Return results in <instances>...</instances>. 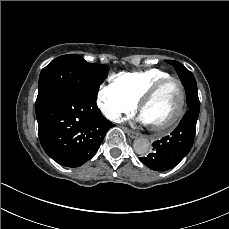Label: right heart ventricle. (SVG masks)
<instances>
[{
    "label": "right heart ventricle",
    "instance_id": "obj_1",
    "mask_svg": "<svg viewBox=\"0 0 229 229\" xmlns=\"http://www.w3.org/2000/svg\"><path fill=\"white\" fill-rule=\"evenodd\" d=\"M171 76L170 73L149 68L139 71L120 72L115 75V83L132 99L139 102L161 80Z\"/></svg>",
    "mask_w": 229,
    "mask_h": 229
}]
</instances>
